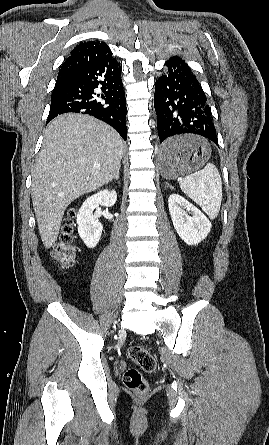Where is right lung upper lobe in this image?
<instances>
[{
  "label": "right lung upper lobe",
  "mask_w": 269,
  "mask_h": 445,
  "mask_svg": "<svg viewBox=\"0 0 269 445\" xmlns=\"http://www.w3.org/2000/svg\"><path fill=\"white\" fill-rule=\"evenodd\" d=\"M112 57L109 47L100 41L80 43L70 53L59 70L55 86L69 80L81 69Z\"/></svg>",
  "instance_id": "1"
}]
</instances>
